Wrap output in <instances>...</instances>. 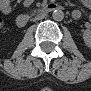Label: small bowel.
Listing matches in <instances>:
<instances>
[{"instance_id":"c3829d8e","label":"small bowel","mask_w":91,"mask_h":91,"mask_svg":"<svg viewBox=\"0 0 91 91\" xmlns=\"http://www.w3.org/2000/svg\"><path fill=\"white\" fill-rule=\"evenodd\" d=\"M1 9H2V11L4 13H9L10 12L8 1H6V0L2 1V3H1Z\"/></svg>"}]
</instances>
